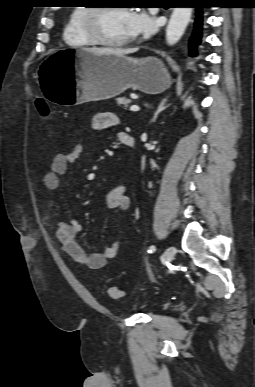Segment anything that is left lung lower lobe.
Returning a JSON list of instances; mask_svg holds the SVG:
<instances>
[{"instance_id": "1", "label": "left lung lower lobe", "mask_w": 255, "mask_h": 387, "mask_svg": "<svg viewBox=\"0 0 255 387\" xmlns=\"http://www.w3.org/2000/svg\"><path fill=\"white\" fill-rule=\"evenodd\" d=\"M186 3L192 4L196 8V18L194 22V31L189 40L190 53L193 56L197 55V46L201 44L202 26H203V12L202 9L206 7L205 0H186Z\"/></svg>"}]
</instances>
